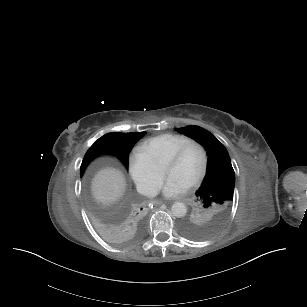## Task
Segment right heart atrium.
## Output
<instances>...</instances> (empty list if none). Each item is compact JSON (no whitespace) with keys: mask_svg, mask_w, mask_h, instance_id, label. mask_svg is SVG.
<instances>
[{"mask_svg":"<svg viewBox=\"0 0 307 307\" xmlns=\"http://www.w3.org/2000/svg\"><path fill=\"white\" fill-rule=\"evenodd\" d=\"M129 174L141 190H151L153 185L163 176L162 165L152 153V148L138 143L128 152Z\"/></svg>","mask_w":307,"mask_h":307,"instance_id":"obj_1","label":"right heart atrium"}]
</instances>
